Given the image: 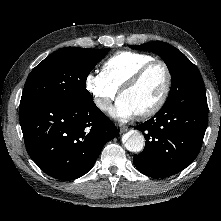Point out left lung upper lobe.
<instances>
[{
  "mask_svg": "<svg viewBox=\"0 0 221 221\" xmlns=\"http://www.w3.org/2000/svg\"><path fill=\"white\" fill-rule=\"evenodd\" d=\"M137 50L158 54L171 72V89L165 103L184 100H206L203 79L197 67L179 50L162 41L131 45Z\"/></svg>",
  "mask_w": 221,
  "mask_h": 221,
  "instance_id": "obj_1",
  "label": "left lung upper lobe"
}]
</instances>
